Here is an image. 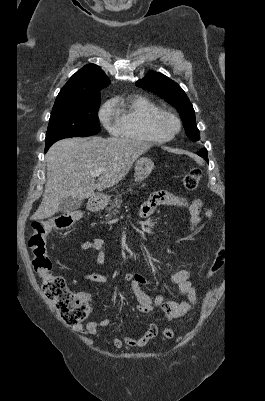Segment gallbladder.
<instances>
[{"label":"gallbladder","mask_w":265,"mask_h":401,"mask_svg":"<svg viewBox=\"0 0 265 401\" xmlns=\"http://www.w3.org/2000/svg\"><path fill=\"white\" fill-rule=\"evenodd\" d=\"M80 207H82L80 198H72V196H66L60 203V211L65 213V215H68V213H75Z\"/></svg>","instance_id":"gallbladder-1"}]
</instances>
